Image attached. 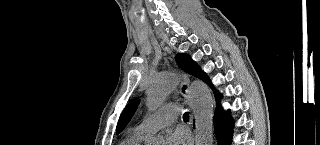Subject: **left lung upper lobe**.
<instances>
[{"mask_svg": "<svg viewBox=\"0 0 320 145\" xmlns=\"http://www.w3.org/2000/svg\"><path fill=\"white\" fill-rule=\"evenodd\" d=\"M175 59L178 66L191 75L197 77L201 72V68L194 61H192L188 55L178 53ZM138 104L139 99H136L125 107L117 124V134L120 133V131H122V129L129 123L137 109Z\"/></svg>", "mask_w": 320, "mask_h": 145, "instance_id": "1", "label": "left lung upper lobe"}]
</instances>
